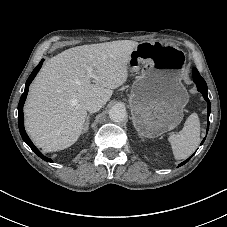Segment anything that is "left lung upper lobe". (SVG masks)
Masks as SVG:
<instances>
[{
  "instance_id": "1",
  "label": "left lung upper lobe",
  "mask_w": 227,
  "mask_h": 227,
  "mask_svg": "<svg viewBox=\"0 0 227 227\" xmlns=\"http://www.w3.org/2000/svg\"><path fill=\"white\" fill-rule=\"evenodd\" d=\"M194 74H198L200 76V74L198 73V70L196 69V71L194 72Z\"/></svg>"
}]
</instances>
